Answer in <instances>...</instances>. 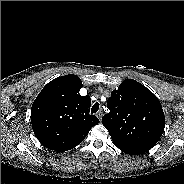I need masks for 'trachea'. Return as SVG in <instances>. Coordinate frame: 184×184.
Masks as SVG:
<instances>
[{
    "instance_id": "obj_1",
    "label": "trachea",
    "mask_w": 184,
    "mask_h": 184,
    "mask_svg": "<svg viewBox=\"0 0 184 184\" xmlns=\"http://www.w3.org/2000/svg\"><path fill=\"white\" fill-rule=\"evenodd\" d=\"M99 109V103H95L93 106H92V109H91V113H96Z\"/></svg>"
}]
</instances>
